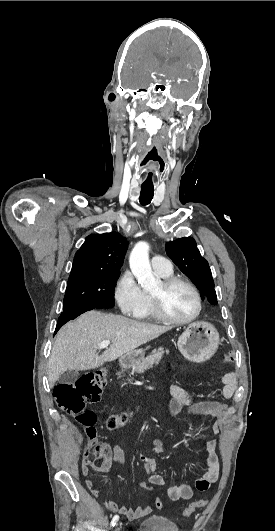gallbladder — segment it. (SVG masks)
Segmentation results:
<instances>
[{
	"mask_svg": "<svg viewBox=\"0 0 275 531\" xmlns=\"http://www.w3.org/2000/svg\"><path fill=\"white\" fill-rule=\"evenodd\" d=\"M79 377L80 373H78V371H67V373H64V375L59 377V383H61V385H73Z\"/></svg>",
	"mask_w": 275,
	"mask_h": 531,
	"instance_id": "1",
	"label": "gallbladder"
}]
</instances>
